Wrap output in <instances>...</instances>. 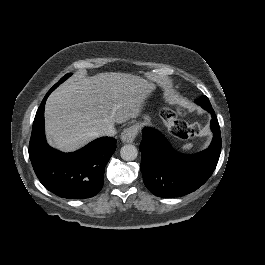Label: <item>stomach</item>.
Here are the masks:
<instances>
[{
  "instance_id": "1",
  "label": "stomach",
  "mask_w": 265,
  "mask_h": 265,
  "mask_svg": "<svg viewBox=\"0 0 265 265\" xmlns=\"http://www.w3.org/2000/svg\"><path fill=\"white\" fill-rule=\"evenodd\" d=\"M143 118H144L146 123L150 122V117L148 115H145ZM137 125H139L141 128V124H137Z\"/></svg>"
}]
</instances>
